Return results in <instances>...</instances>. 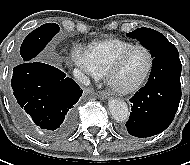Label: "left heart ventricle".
Masks as SVG:
<instances>
[{
	"label": "left heart ventricle",
	"instance_id": "b2bd125f",
	"mask_svg": "<svg viewBox=\"0 0 190 165\" xmlns=\"http://www.w3.org/2000/svg\"><path fill=\"white\" fill-rule=\"evenodd\" d=\"M149 58L143 49L131 51L123 60L121 67L114 76V81L120 86L136 83L145 73Z\"/></svg>",
	"mask_w": 190,
	"mask_h": 165
}]
</instances>
